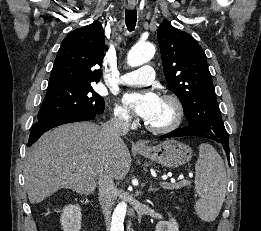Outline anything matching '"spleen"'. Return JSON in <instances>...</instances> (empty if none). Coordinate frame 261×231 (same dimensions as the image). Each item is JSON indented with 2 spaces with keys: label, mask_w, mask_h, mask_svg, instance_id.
I'll list each match as a JSON object with an SVG mask.
<instances>
[{
  "label": "spleen",
  "mask_w": 261,
  "mask_h": 231,
  "mask_svg": "<svg viewBox=\"0 0 261 231\" xmlns=\"http://www.w3.org/2000/svg\"><path fill=\"white\" fill-rule=\"evenodd\" d=\"M195 171V189L199 195L195 205L196 213L201 220L212 222L225 200L227 176L221 156L210 144L199 146Z\"/></svg>",
  "instance_id": "3e777b00"
}]
</instances>
